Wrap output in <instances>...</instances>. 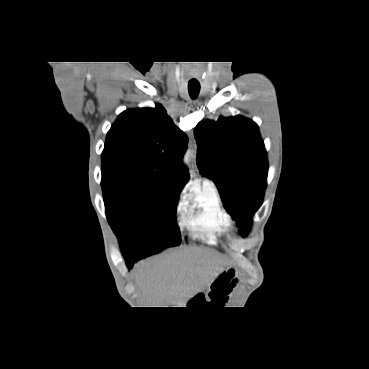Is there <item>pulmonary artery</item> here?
<instances>
[{"mask_svg": "<svg viewBox=\"0 0 369 369\" xmlns=\"http://www.w3.org/2000/svg\"><path fill=\"white\" fill-rule=\"evenodd\" d=\"M203 184L214 187V183L208 178H204Z\"/></svg>", "mask_w": 369, "mask_h": 369, "instance_id": "obj_1", "label": "pulmonary artery"}]
</instances>
